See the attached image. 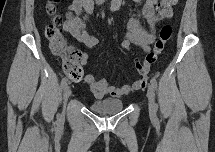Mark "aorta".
Returning a JSON list of instances; mask_svg holds the SVG:
<instances>
[{
    "label": "aorta",
    "mask_w": 215,
    "mask_h": 152,
    "mask_svg": "<svg viewBox=\"0 0 215 152\" xmlns=\"http://www.w3.org/2000/svg\"><path fill=\"white\" fill-rule=\"evenodd\" d=\"M121 6V0H112L111 7L112 8H119Z\"/></svg>",
    "instance_id": "762f6f07"
}]
</instances>
